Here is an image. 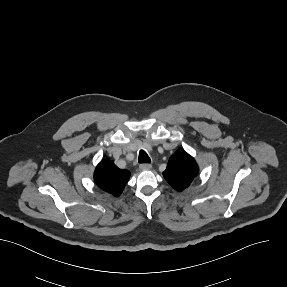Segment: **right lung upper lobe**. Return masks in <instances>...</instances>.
<instances>
[{"label": "right lung upper lobe", "instance_id": "right-lung-upper-lobe-1", "mask_svg": "<svg viewBox=\"0 0 287 287\" xmlns=\"http://www.w3.org/2000/svg\"><path fill=\"white\" fill-rule=\"evenodd\" d=\"M130 177V172L119 169L113 161L102 160L94 172V181L99 188L114 196H119Z\"/></svg>", "mask_w": 287, "mask_h": 287}]
</instances>
